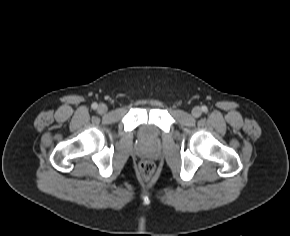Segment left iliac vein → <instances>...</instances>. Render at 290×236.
Segmentation results:
<instances>
[{
	"label": "left iliac vein",
	"mask_w": 290,
	"mask_h": 236,
	"mask_svg": "<svg viewBox=\"0 0 290 236\" xmlns=\"http://www.w3.org/2000/svg\"><path fill=\"white\" fill-rule=\"evenodd\" d=\"M201 114H202V110H201V108H199V107H194V108L192 109V115H193L194 117H199Z\"/></svg>",
	"instance_id": "1"
}]
</instances>
